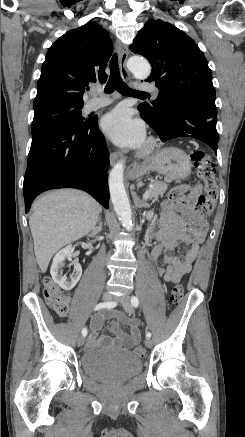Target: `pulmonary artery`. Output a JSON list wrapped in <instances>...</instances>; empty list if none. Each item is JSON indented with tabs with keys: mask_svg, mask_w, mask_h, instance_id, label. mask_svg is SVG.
Returning <instances> with one entry per match:
<instances>
[{
	"mask_svg": "<svg viewBox=\"0 0 245 437\" xmlns=\"http://www.w3.org/2000/svg\"><path fill=\"white\" fill-rule=\"evenodd\" d=\"M138 89L142 90V91L153 92L155 95H157L159 93V89L152 83H142L138 86ZM96 92L101 94L100 89H97ZM111 103H112V100L107 98V97L93 98L86 104V109L88 111L97 110V109L106 107V106L110 105Z\"/></svg>",
	"mask_w": 245,
	"mask_h": 437,
	"instance_id": "e3ab8cb5",
	"label": "pulmonary artery"
}]
</instances>
